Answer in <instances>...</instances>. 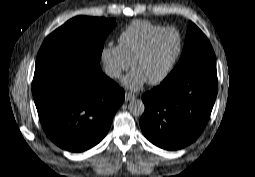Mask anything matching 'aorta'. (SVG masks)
Segmentation results:
<instances>
[{
  "instance_id": "aorta-1",
  "label": "aorta",
  "mask_w": 255,
  "mask_h": 177,
  "mask_svg": "<svg viewBox=\"0 0 255 177\" xmlns=\"http://www.w3.org/2000/svg\"><path fill=\"white\" fill-rule=\"evenodd\" d=\"M129 111L134 116H141L144 113L145 105L142 100L132 99L129 102Z\"/></svg>"
}]
</instances>
